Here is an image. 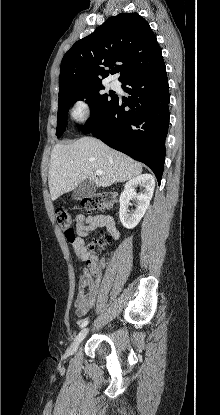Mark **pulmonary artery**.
Wrapping results in <instances>:
<instances>
[{
    "label": "pulmonary artery",
    "mask_w": 220,
    "mask_h": 415,
    "mask_svg": "<svg viewBox=\"0 0 220 415\" xmlns=\"http://www.w3.org/2000/svg\"><path fill=\"white\" fill-rule=\"evenodd\" d=\"M117 86H118V85H117V83H115V82H111V87H112V88H117Z\"/></svg>",
    "instance_id": "obj_1"
}]
</instances>
